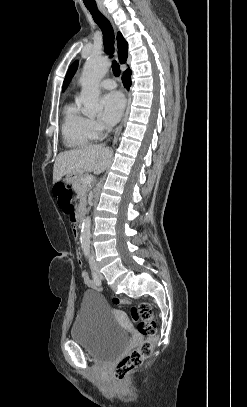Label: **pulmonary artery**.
Masks as SVG:
<instances>
[{
	"instance_id": "obj_1",
	"label": "pulmonary artery",
	"mask_w": 247,
	"mask_h": 407,
	"mask_svg": "<svg viewBox=\"0 0 247 407\" xmlns=\"http://www.w3.org/2000/svg\"><path fill=\"white\" fill-rule=\"evenodd\" d=\"M116 86V82L111 78L104 79L100 82V87L103 89L110 90L116 88Z\"/></svg>"
}]
</instances>
